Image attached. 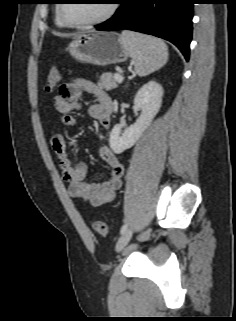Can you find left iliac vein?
<instances>
[{"mask_svg":"<svg viewBox=\"0 0 236 321\" xmlns=\"http://www.w3.org/2000/svg\"><path fill=\"white\" fill-rule=\"evenodd\" d=\"M133 230L131 228L126 229V231L120 236L116 243V250L121 251L130 241L132 237Z\"/></svg>","mask_w":236,"mask_h":321,"instance_id":"left-iliac-vein-1","label":"left iliac vein"}]
</instances>
